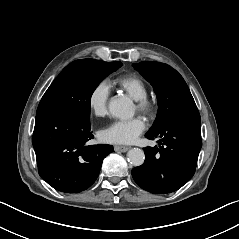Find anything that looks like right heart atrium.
Instances as JSON below:
<instances>
[{
    "instance_id": "right-heart-atrium-1",
    "label": "right heart atrium",
    "mask_w": 239,
    "mask_h": 239,
    "mask_svg": "<svg viewBox=\"0 0 239 239\" xmlns=\"http://www.w3.org/2000/svg\"><path fill=\"white\" fill-rule=\"evenodd\" d=\"M110 88L107 83L100 81L89 91L87 104L90 112L96 117H102L107 113Z\"/></svg>"
}]
</instances>
